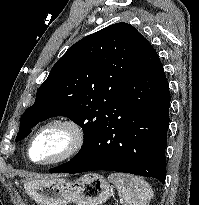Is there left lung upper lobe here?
<instances>
[{
    "label": "left lung upper lobe",
    "instance_id": "5c2ea615",
    "mask_svg": "<svg viewBox=\"0 0 199 205\" xmlns=\"http://www.w3.org/2000/svg\"><path fill=\"white\" fill-rule=\"evenodd\" d=\"M144 37L127 23L110 25L72 45L38 88L35 103L20 119L16 141L50 117L65 116L80 125L84 145L60 172L77 162L102 129L106 112L119 96Z\"/></svg>",
    "mask_w": 199,
    "mask_h": 205
}]
</instances>
